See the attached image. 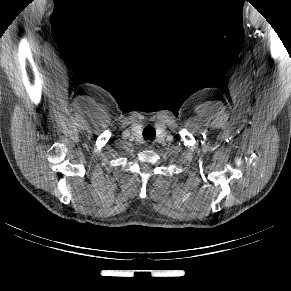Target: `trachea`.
Returning <instances> with one entry per match:
<instances>
[{
    "label": "trachea",
    "mask_w": 291,
    "mask_h": 291,
    "mask_svg": "<svg viewBox=\"0 0 291 291\" xmlns=\"http://www.w3.org/2000/svg\"><path fill=\"white\" fill-rule=\"evenodd\" d=\"M143 137L145 140H154L156 137V131L152 126H147L143 130Z\"/></svg>",
    "instance_id": "trachea-1"
}]
</instances>
